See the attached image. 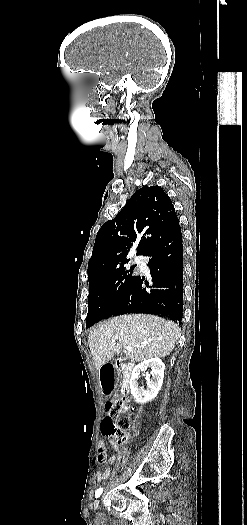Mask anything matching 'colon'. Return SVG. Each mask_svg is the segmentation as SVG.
I'll return each instance as SVG.
<instances>
[{
  "label": "colon",
  "mask_w": 247,
  "mask_h": 525,
  "mask_svg": "<svg viewBox=\"0 0 247 525\" xmlns=\"http://www.w3.org/2000/svg\"><path fill=\"white\" fill-rule=\"evenodd\" d=\"M106 414L103 418V437H112L121 442L126 439V432L129 429V419L125 416V400L122 397L110 399L106 406Z\"/></svg>",
  "instance_id": "obj_1"
}]
</instances>
